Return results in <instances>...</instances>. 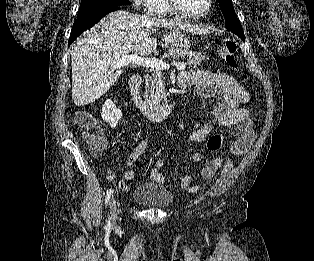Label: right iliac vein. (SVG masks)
Segmentation results:
<instances>
[{
    "mask_svg": "<svg viewBox=\"0 0 314 261\" xmlns=\"http://www.w3.org/2000/svg\"><path fill=\"white\" fill-rule=\"evenodd\" d=\"M109 208H110L112 223H114L117 219V201L115 198H112V200L110 201Z\"/></svg>",
    "mask_w": 314,
    "mask_h": 261,
    "instance_id": "right-iliac-vein-1",
    "label": "right iliac vein"
}]
</instances>
